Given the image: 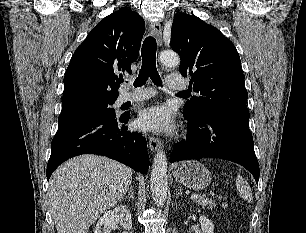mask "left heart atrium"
I'll return each instance as SVG.
<instances>
[{
  "instance_id": "39dd6f15",
  "label": "left heart atrium",
  "mask_w": 306,
  "mask_h": 233,
  "mask_svg": "<svg viewBox=\"0 0 306 233\" xmlns=\"http://www.w3.org/2000/svg\"><path fill=\"white\" fill-rule=\"evenodd\" d=\"M137 126L143 131L169 132L174 128L173 111L162 104L151 106L139 114Z\"/></svg>"
}]
</instances>
